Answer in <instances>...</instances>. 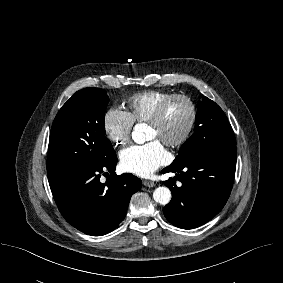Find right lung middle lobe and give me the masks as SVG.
<instances>
[{"label":"right lung middle lobe","mask_w":283,"mask_h":283,"mask_svg":"<svg viewBox=\"0 0 283 283\" xmlns=\"http://www.w3.org/2000/svg\"><path fill=\"white\" fill-rule=\"evenodd\" d=\"M107 92L77 91L59 110L52 124L48 149V181L92 168L115 153L105 136Z\"/></svg>","instance_id":"1"}]
</instances>
